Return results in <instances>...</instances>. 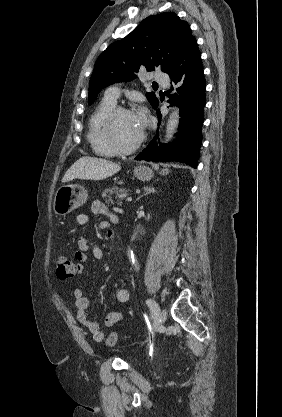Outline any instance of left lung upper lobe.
<instances>
[{
    "mask_svg": "<svg viewBox=\"0 0 282 417\" xmlns=\"http://www.w3.org/2000/svg\"><path fill=\"white\" fill-rule=\"evenodd\" d=\"M189 24L173 12L144 19L124 39L112 43L97 59L89 82L91 105L106 86L135 78L134 72L160 68L167 72L187 44L194 40ZM152 106L158 103L153 92L146 93Z\"/></svg>",
    "mask_w": 282,
    "mask_h": 417,
    "instance_id": "5c2ea615",
    "label": "left lung upper lobe"
}]
</instances>
